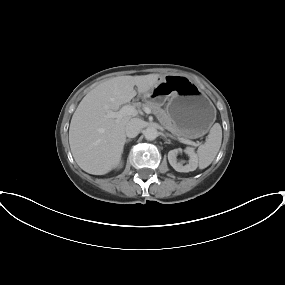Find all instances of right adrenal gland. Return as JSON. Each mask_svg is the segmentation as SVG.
<instances>
[{
    "label": "right adrenal gland",
    "instance_id": "2a0ac1e0",
    "mask_svg": "<svg viewBox=\"0 0 285 285\" xmlns=\"http://www.w3.org/2000/svg\"><path fill=\"white\" fill-rule=\"evenodd\" d=\"M130 141H131V139H127V140H126V143H128V142H130Z\"/></svg>",
    "mask_w": 285,
    "mask_h": 285
}]
</instances>
